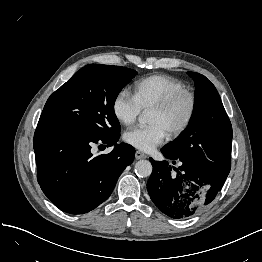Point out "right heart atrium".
<instances>
[{"mask_svg":"<svg viewBox=\"0 0 262 262\" xmlns=\"http://www.w3.org/2000/svg\"><path fill=\"white\" fill-rule=\"evenodd\" d=\"M113 113L117 120L124 125H131L142 112L138 101L133 94L121 90L113 101Z\"/></svg>","mask_w":262,"mask_h":262,"instance_id":"right-heart-atrium-1","label":"right heart atrium"}]
</instances>
